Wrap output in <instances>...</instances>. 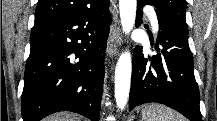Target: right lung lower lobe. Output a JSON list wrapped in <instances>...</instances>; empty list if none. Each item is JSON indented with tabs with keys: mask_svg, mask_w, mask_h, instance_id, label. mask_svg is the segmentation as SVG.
<instances>
[{
	"mask_svg": "<svg viewBox=\"0 0 217 121\" xmlns=\"http://www.w3.org/2000/svg\"><path fill=\"white\" fill-rule=\"evenodd\" d=\"M34 24L21 98L23 121L72 111L99 121L109 0Z\"/></svg>",
	"mask_w": 217,
	"mask_h": 121,
	"instance_id": "1",
	"label": "right lung lower lobe"
}]
</instances>
